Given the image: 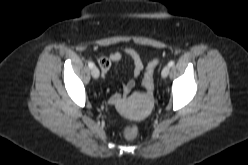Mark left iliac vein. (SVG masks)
Masks as SVG:
<instances>
[{
	"mask_svg": "<svg viewBox=\"0 0 248 165\" xmlns=\"http://www.w3.org/2000/svg\"><path fill=\"white\" fill-rule=\"evenodd\" d=\"M169 71H170L169 66H165V67L162 69V71H161V76H162L163 78H166V77L168 76V74H169Z\"/></svg>",
	"mask_w": 248,
	"mask_h": 165,
	"instance_id": "1",
	"label": "left iliac vein"
}]
</instances>
